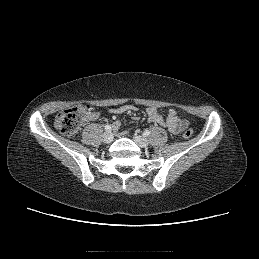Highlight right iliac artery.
I'll return each mask as SVG.
<instances>
[{"label":"right iliac artery","mask_w":259,"mask_h":259,"mask_svg":"<svg viewBox=\"0 0 259 259\" xmlns=\"http://www.w3.org/2000/svg\"><path fill=\"white\" fill-rule=\"evenodd\" d=\"M105 130H106V131H110V130H111V126H110V125H106V126H105Z\"/></svg>","instance_id":"right-iliac-artery-1"}]
</instances>
